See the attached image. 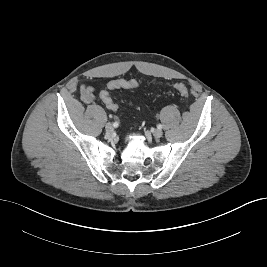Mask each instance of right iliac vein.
Returning <instances> with one entry per match:
<instances>
[{"mask_svg": "<svg viewBox=\"0 0 267 267\" xmlns=\"http://www.w3.org/2000/svg\"><path fill=\"white\" fill-rule=\"evenodd\" d=\"M105 130L107 133H112L113 130H114V127L111 123H107L106 126H105Z\"/></svg>", "mask_w": 267, "mask_h": 267, "instance_id": "right-iliac-vein-1", "label": "right iliac vein"}]
</instances>
